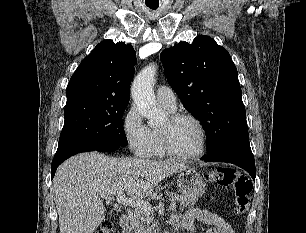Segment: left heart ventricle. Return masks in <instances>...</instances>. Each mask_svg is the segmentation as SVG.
I'll return each mask as SVG.
<instances>
[{"label": "left heart ventricle", "mask_w": 306, "mask_h": 233, "mask_svg": "<svg viewBox=\"0 0 306 233\" xmlns=\"http://www.w3.org/2000/svg\"><path fill=\"white\" fill-rule=\"evenodd\" d=\"M161 130L170 134L172 145L181 153H195L201 146V134L197 125L191 120H181L171 124L168 119Z\"/></svg>", "instance_id": "1"}]
</instances>
